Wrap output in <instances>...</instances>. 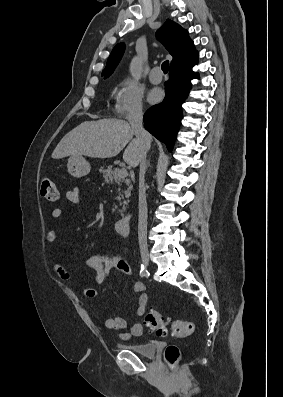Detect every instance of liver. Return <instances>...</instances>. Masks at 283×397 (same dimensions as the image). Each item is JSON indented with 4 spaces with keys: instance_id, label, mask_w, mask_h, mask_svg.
Here are the masks:
<instances>
[{
    "instance_id": "1",
    "label": "liver",
    "mask_w": 283,
    "mask_h": 397,
    "mask_svg": "<svg viewBox=\"0 0 283 397\" xmlns=\"http://www.w3.org/2000/svg\"><path fill=\"white\" fill-rule=\"evenodd\" d=\"M134 136H136L135 131L124 120L85 121L61 139L52 153V158L82 155L110 158L118 155L128 144L123 153V160L130 167L135 168L139 164L144 144ZM151 140L152 137L149 135L150 143Z\"/></svg>"
}]
</instances>
